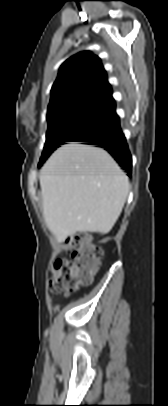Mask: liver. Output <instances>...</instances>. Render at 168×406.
<instances>
[{
    "mask_svg": "<svg viewBox=\"0 0 168 406\" xmlns=\"http://www.w3.org/2000/svg\"><path fill=\"white\" fill-rule=\"evenodd\" d=\"M40 186L44 220L58 242L76 232H110L129 189L127 176L105 150L75 142L50 156Z\"/></svg>",
    "mask_w": 168,
    "mask_h": 406,
    "instance_id": "obj_1",
    "label": "liver"
}]
</instances>
